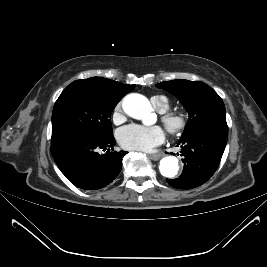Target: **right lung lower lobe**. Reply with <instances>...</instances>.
Wrapping results in <instances>:
<instances>
[{
	"label": "right lung lower lobe",
	"instance_id": "obj_1",
	"mask_svg": "<svg viewBox=\"0 0 267 267\" xmlns=\"http://www.w3.org/2000/svg\"><path fill=\"white\" fill-rule=\"evenodd\" d=\"M115 144L113 136L101 139L69 135L52 141L51 153L72 184L85 190H97L109 185L122 168L121 160L127 152L114 151ZM100 149L107 151L99 154Z\"/></svg>",
	"mask_w": 267,
	"mask_h": 267
}]
</instances>
